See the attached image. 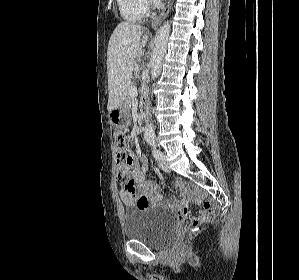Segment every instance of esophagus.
<instances>
[{
    "mask_svg": "<svg viewBox=\"0 0 299 280\" xmlns=\"http://www.w3.org/2000/svg\"><path fill=\"white\" fill-rule=\"evenodd\" d=\"M172 5H173V0H169L166 7L162 10V12L157 17L154 18L151 24V27L153 29H155L161 23V21L168 15Z\"/></svg>",
    "mask_w": 299,
    "mask_h": 280,
    "instance_id": "1",
    "label": "esophagus"
}]
</instances>
